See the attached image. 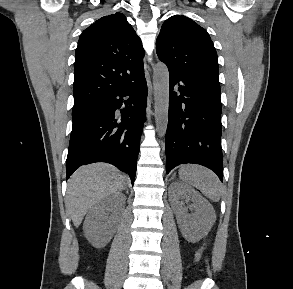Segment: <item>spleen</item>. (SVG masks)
Segmentation results:
<instances>
[{
  "label": "spleen",
  "instance_id": "spleen-1",
  "mask_svg": "<svg viewBox=\"0 0 293 289\" xmlns=\"http://www.w3.org/2000/svg\"><path fill=\"white\" fill-rule=\"evenodd\" d=\"M180 178L189 185L199 189L203 195L218 202L222 195L221 183L211 170L194 164L181 166Z\"/></svg>",
  "mask_w": 293,
  "mask_h": 289
}]
</instances>
